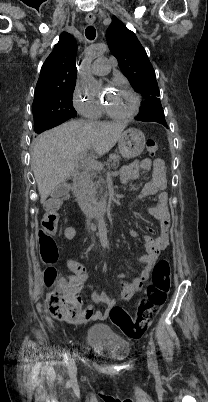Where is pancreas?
I'll list each match as a JSON object with an SVG mask.
<instances>
[{
	"instance_id": "pancreas-1",
	"label": "pancreas",
	"mask_w": 208,
	"mask_h": 402,
	"mask_svg": "<svg viewBox=\"0 0 208 402\" xmlns=\"http://www.w3.org/2000/svg\"><path fill=\"white\" fill-rule=\"evenodd\" d=\"M120 156L118 154H110L108 162L111 164H105V166H113V168H118L119 166ZM86 174V182H84L83 188L81 190H77L78 196H87V194H92L95 198H99L102 194H105L103 186H106L105 182L102 180V176H100L99 170H87V172H83Z\"/></svg>"
}]
</instances>
